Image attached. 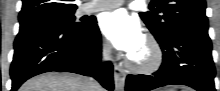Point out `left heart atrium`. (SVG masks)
Listing matches in <instances>:
<instances>
[{"mask_svg":"<svg viewBox=\"0 0 220 91\" xmlns=\"http://www.w3.org/2000/svg\"><path fill=\"white\" fill-rule=\"evenodd\" d=\"M100 27L113 46L129 56L144 43L139 22L124 9L105 13Z\"/></svg>","mask_w":220,"mask_h":91,"instance_id":"39dd6f15","label":"left heart atrium"}]
</instances>
